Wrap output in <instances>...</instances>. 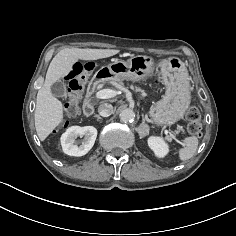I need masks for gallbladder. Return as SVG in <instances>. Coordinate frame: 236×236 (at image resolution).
I'll return each instance as SVG.
<instances>
[{"instance_id":"obj_1","label":"gallbladder","mask_w":236,"mask_h":236,"mask_svg":"<svg viewBox=\"0 0 236 236\" xmlns=\"http://www.w3.org/2000/svg\"><path fill=\"white\" fill-rule=\"evenodd\" d=\"M50 90L52 95L55 97H64L66 95V86L61 80L53 83L50 87Z\"/></svg>"}]
</instances>
